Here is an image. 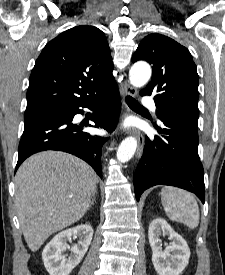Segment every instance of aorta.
<instances>
[{
  "instance_id": "aorta-1",
  "label": "aorta",
  "mask_w": 225,
  "mask_h": 275,
  "mask_svg": "<svg viewBox=\"0 0 225 275\" xmlns=\"http://www.w3.org/2000/svg\"><path fill=\"white\" fill-rule=\"evenodd\" d=\"M151 67L145 62L135 63L129 71L130 83L135 87L144 86L151 77ZM137 148V140L134 137H128L123 140L117 150V159L119 162H128L134 155Z\"/></svg>"
}]
</instances>
